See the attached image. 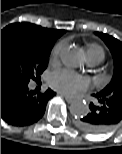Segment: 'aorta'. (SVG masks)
Wrapping results in <instances>:
<instances>
[{
    "label": "aorta",
    "instance_id": "obj_1",
    "mask_svg": "<svg viewBox=\"0 0 122 154\" xmlns=\"http://www.w3.org/2000/svg\"><path fill=\"white\" fill-rule=\"evenodd\" d=\"M62 63L69 68H76L82 64L83 55L82 52L76 47H66L61 52ZM70 113L76 117L84 116L88 114L89 107L83 101H74L70 105Z\"/></svg>",
    "mask_w": 122,
    "mask_h": 154
}]
</instances>
